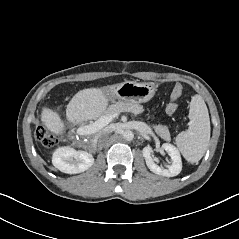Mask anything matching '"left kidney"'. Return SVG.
<instances>
[{
    "mask_svg": "<svg viewBox=\"0 0 239 239\" xmlns=\"http://www.w3.org/2000/svg\"><path fill=\"white\" fill-rule=\"evenodd\" d=\"M162 149L165 150L171 158V165L166 168L160 167L155 163L154 158L152 157V148L147 146L142 150L143 157L145 158L147 167L155 174L162 175L166 177L177 176L182 170V161L178 149L169 143H164Z\"/></svg>",
    "mask_w": 239,
    "mask_h": 239,
    "instance_id": "left-kidney-1",
    "label": "left kidney"
}]
</instances>
